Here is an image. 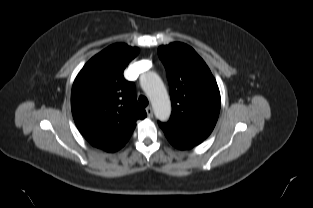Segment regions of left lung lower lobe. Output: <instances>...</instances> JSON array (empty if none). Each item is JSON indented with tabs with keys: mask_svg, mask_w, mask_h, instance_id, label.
<instances>
[{
	"mask_svg": "<svg viewBox=\"0 0 313 208\" xmlns=\"http://www.w3.org/2000/svg\"><path fill=\"white\" fill-rule=\"evenodd\" d=\"M172 145H174L176 148L181 149V150H185V149H191L192 147L186 144H182V143H176V142H170Z\"/></svg>",
	"mask_w": 313,
	"mask_h": 208,
	"instance_id": "0a47b994",
	"label": "left lung lower lobe"
}]
</instances>
